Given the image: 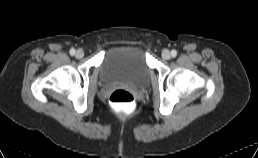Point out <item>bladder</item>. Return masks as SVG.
Listing matches in <instances>:
<instances>
[{"instance_id":"31cf9c89","label":"bladder","mask_w":258,"mask_h":158,"mask_svg":"<svg viewBox=\"0 0 258 158\" xmlns=\"http://www.w3.org/2000/svg\"><path fill=\"white\" fill-rule=\"evenodd\" d=\"M101 75L106 81H123L144 86L150 77L145 50L139 45L110 48L105 54Z\"/></svg>"}]
</instances>
